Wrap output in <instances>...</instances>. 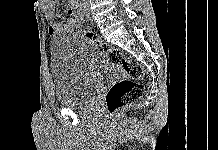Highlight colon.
<instances>
[{"label":"colon","instance_id":"1","mask_svg":"<svg viewBox=\"0 0 218 150\" xmlns=\"http://www.w3.org/2000/svg\"><path fill=\"white\" fill-rule=\"evenodd\" d=\"M72 33H83L85 39L95 46L105 57L116 64L122 71L123 77L115 80L108 88L105 96L106 107L110 113L138 100L143 94L141 83L144 70L135 60L126 57L123 52L109 45L90 29H85L75 19L68 21Z\"/></svg>","mask_w":218,"mask_h":150}]
</instances>
